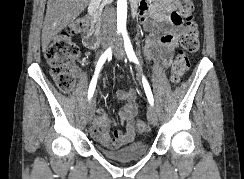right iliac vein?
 Wrapping results in <instances>:
<instances>
[{
  "label": "right iliac vein",
  "mask_w": 244,
  "mask_h": 179,
  "mask_svg": "<svg viewBox=\"0 0 244 179\" xmlns=\"http://www.w3.org/2000/svg\"><path fill=\"white\" fill-rule=\"evenodd\" d=\"M109 47V43L103 46V49H107ZM96 102L94 98H91L87 105V120L91 122L93 115L95 113Z\"/></svg>",
  "instance_id": "1"
}]
</instances>
